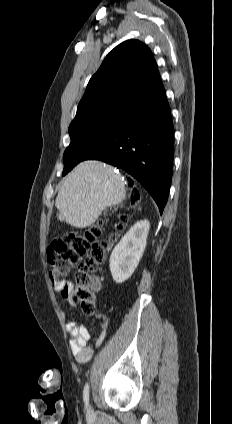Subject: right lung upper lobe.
Returning <instances> with one entry per match:
<instances>
[{
  "mask_svg": "<svg viewBox=\"0 0 232 424\" xmlns=\"http://www.w3.org/2000/svg\"><path fill=\"white\" fill-rule=\"evenodd\" d=\"M163 88L151 50L137 40L116 46L90 79L77 113L103 104L133 105Z\"/></svg>",
  "mask_w": 232,
  "mask_h": 424,
  "instance_id": "obj_1",
  "label": "right lung upper lobe"
}]
</instances>
